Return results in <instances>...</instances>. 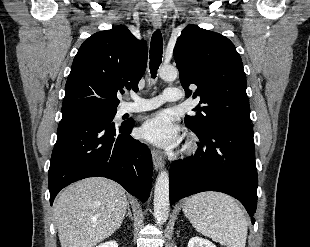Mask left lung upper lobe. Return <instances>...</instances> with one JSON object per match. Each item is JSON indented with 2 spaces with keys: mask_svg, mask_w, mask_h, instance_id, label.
I'll list each match as a JSON object with an SVG mask.
<instances>
[{
  "mask_svg": "<svg viewBox=\"0 0 310 247\" xmlns=\"http://www.w3.org/2000/svg\"><path fill=\"white\" fill-rule=\"evenodd\" d=\"M180 81L187 96L189 85L197 86L193 97L200 104L185 116V124L203 136L222 124H250V106L246 94V75L239 53L225 36L186 26L174 47Z\"/></svg>",
  "mask_w": 310,
  "mask_h": 247,
  "instance_id": "left-lung-upper-lobe-1",
  "label": "left lung upper lobe"
}]
</instances>
